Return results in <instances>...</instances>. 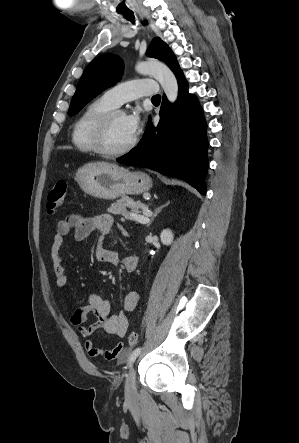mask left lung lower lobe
<instances>
[{"mask_svg": "<svg viewBox=\"0 0 299 443\" xmlns=\"http://www.w3.org/2000/svg\"><path fill=\"white\" fill-rule=\"evenodd\" d=\"M178 98L172 105L163 97L160 121L151 119L139 144L117 162L156 170L182 179L206 193L208 169L206 122L197 98L188 92V83L180 70L176 74Z\"/></svg>", "mask_w": 299, "mask_h": 443, "instance_id": "1", "label": "left lung lower lobe"}]
</instances>
